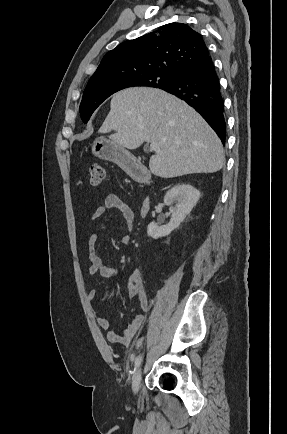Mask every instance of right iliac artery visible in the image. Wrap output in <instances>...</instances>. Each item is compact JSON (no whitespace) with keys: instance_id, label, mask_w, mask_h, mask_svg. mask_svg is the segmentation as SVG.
<instances>
[{"instance_id":"1","label":"right iliac artery","mask_w":287,"mask_h":434,"mask_svg":"<svg viewBox=\"0 0 287 434\" xmlns=\"http://www.w3.org/2000/svg\"><path fill=\"white\" fill-rule=\"evenodd\" d=\"M142 361V355H139L136 359H135V369H137L139 367V365L141 364Z\"/></svg>"}]
</instances>
